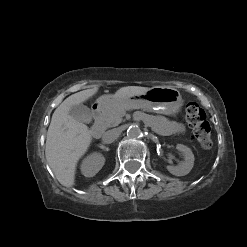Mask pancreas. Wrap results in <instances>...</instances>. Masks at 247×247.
Returning <instances> with one entry per match:
<instances>
[{
    "label": "pancreas",
    "instance_id": "pancreas-1",
    "mask_svg": "<svg viewBox=\"0 0 247 247\" xmlns=\"http://www.w3.org/2000/svg\"><path fill=\"white\" fill-rule=\"evenodd\" d=\"M133 108H136V106L131 104L118 106L111 111L106 112L99 120V124L104 128L118 126L122 122V117L125 115L126 111Z\"/></svg>",
    "mask_w": 247,
    "mask_h": 247
}]
</instances>
